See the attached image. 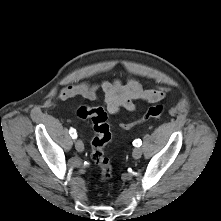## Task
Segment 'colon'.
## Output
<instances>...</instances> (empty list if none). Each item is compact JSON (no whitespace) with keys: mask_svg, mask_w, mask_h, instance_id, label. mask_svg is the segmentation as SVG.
I'll list each match as a JSON object with an SVG mask.
<instances>
[{"mask_svg":"<svg viewBox=\"0 0 221 221\" xmlns=\"http://www.w3.org/2000/svg\"><path fill=\"white\" fill-rule=\"evenodd\" d=\"M165 111L162 104L149 107L144 114L136 121L124 122L120 126L123 129H130L134 125L150 119L160 118ZM77 116L81 119H90L94 130V137L91 142V158L99 167L101 181H107L112 177V167L110 161L104 155V147L111 141L112 134L108 123L107 112L101 107L81 106L77 110Z\"/></svg>","mask_w":221,"mask_h":221,"instance_id":"colon-1","label":"colon"}]
</instances>
